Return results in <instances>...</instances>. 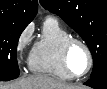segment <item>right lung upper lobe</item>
Here are the masks:
<instances>
[{
	"instance_id": "obj_1",
	"label": "right lung upper lobe",
	"mask_w": 107,
	"mask_h": 89,
	"mask_svg": "<svg viewBox=\"0 0 107 89\" xmlns=\"http://www.w3.org/2000/svg\"><path fill=\"white\" fill-rule=\"evenodd\" d=\"M38 10L37 0H0V20L29 24Z\"/></svg>"
}]
</instances>
